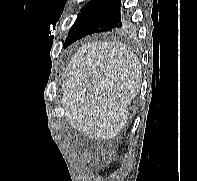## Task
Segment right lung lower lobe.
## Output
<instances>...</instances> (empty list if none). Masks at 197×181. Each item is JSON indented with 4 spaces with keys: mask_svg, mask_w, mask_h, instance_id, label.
Segmentation results:
<instances>
[{
    "mask_svg": "<svg viewBox=\"0 0 197 181\" xmlns=\"http://www.w3.org/2000/svg\"><path fill=\"white\" fill-rule=\"evenodd\" d=\"M127 24L128 20L121 11L120 0H97L77 18L63 47H68L86 35L116 30Z\"/></svg>",
    "mask_w": 197,
    "mask_h": 181,
    "instance_id": "obj_1",
    "label": "right lung lower lobe"
}]
</instances>
